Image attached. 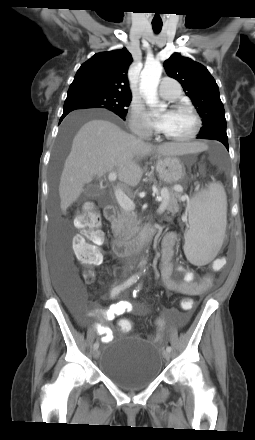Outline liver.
Instances as JSON below:
<instances>
[{
	"mask_svg": "<svg viewBox=\"0 0 255 440\" xmlns=\"http://www.w3.org/2000/svg\"><path fill=\"white\" fill-rule=\"evenodd\" d=\"M206 149L200 142L165 143L153 146L120 129L116 124L92 119L73 138L59 184L60 207L63 213L83 191L86 183L115 170L121 182L135 187L142 178L139 158L150 154L168 157L195 153Z\"/></svg>",
	"mask_w": 255,
	"mask_h": 440,
	"instance_id": "6515ba94",
	"label": "liver"
}]
</instances>
